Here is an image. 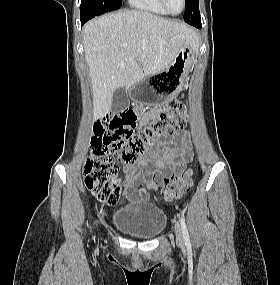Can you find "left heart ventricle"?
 <instances>
[{"label": "left heart ventricle", "mask_w": 280, "mask_h": 285, "mask_svg": "<svg viewBox=\"0 0 280 285\" xmlns=\"http://www.w3.org/2000/svg\"><path fill=\"white\" fill-rule=\"evenodd\" d=\"M170 9L173 12H179L183 6V0H167Z\"/></svg>", "instance_id": "obj_1"}]
</instances>
